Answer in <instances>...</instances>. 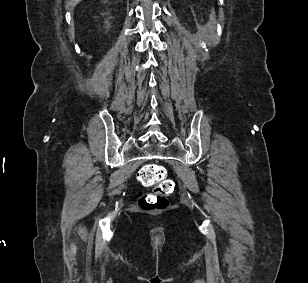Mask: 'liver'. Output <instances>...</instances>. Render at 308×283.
I'll return each instance as SVG.
<instances>
[{"label":"liver","mask_w":308,"mask_h":283,"mask_svg":"<svg viewBox=\"0 0 308 283\" xmlns=\"http://www.w3.org/2000/svg\"><path fill=\"white\" fill-rule=\"evenodd\" d=\"M81 0H73V6H76Z\"/></svg>","instance_id":"liver-1"}]
</instances>
